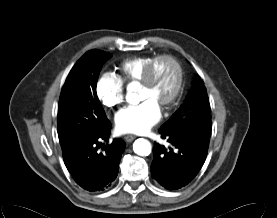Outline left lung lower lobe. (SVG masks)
<instances>
[{"label": "left lung lower lobe", "mask_w": 277, "mask_h": 218, "mask_svg": "<svg viewBox=\"0 0 277 218\" xmlns=\"http://www.w3.org/2000/svg\"><path fill=\"white\" fill-rule=\"evenodd\" d=\"M159 133L171 147L154 144L151 175L166 189H179L190 183L203 166L211 128L166 127Z\"/></svg>", "instance_id": "0a47b994"}]
</instances>
